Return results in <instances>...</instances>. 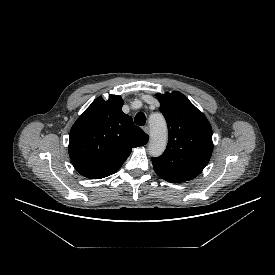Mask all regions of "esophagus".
<instances>
[{
  "instance_id": "1",
  "label": "esophagus",
  "mask_w": 275,
  "mask_h": 275,
  "mask_svg": "<svg viewBox=\"0 0 275 275\" xmlns=\"http://www.w3.org/2000/svg\"><path fill=\"white\" fill-rule=\"evenodd\" d=\"M143 130H144L145 133L149 134L150 129H149V126H148V125H145V126L143 127Z\"/></svg>"
}]
</instances>
